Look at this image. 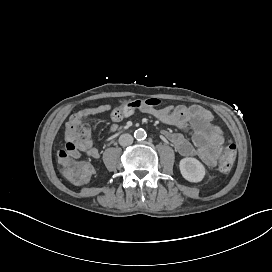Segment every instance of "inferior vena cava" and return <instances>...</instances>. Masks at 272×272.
<instances>
[{"instance_id": "1", "label": "inferior vena cava", "mask_w": 272, "mask_h": 272, "mask_svg": "<svg viewBox=\"0 0 272 272\" xmlns=\"http://www.w3.org/2000/svg\"><path fill=\"white\" fill-rule=\"evenodd\" d=\"M133 143L132 135L125 133L119 137V144L123 147L129 146Z\"/></svg>"}]
</instances>
